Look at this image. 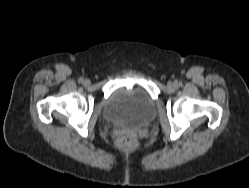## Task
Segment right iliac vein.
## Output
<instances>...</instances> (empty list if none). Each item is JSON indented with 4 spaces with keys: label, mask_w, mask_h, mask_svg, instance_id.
Instances as JSON below:
<instances>
[{
    "label": "right iliac vein",
    "mask_w": 249,
    "mask_h": 188,
    "mask_svg": "<svg viewBox=\"0 0 249 188\" xmlns=\"http://www.w3.org/2000/svg\"><path fill=\"white\" fill-rule=\"evenodd\" d=\"M90 83H91V82H90L89 79H86V80L83 81V84H84L85 86H89Z\"/></svg>",
    "instance_id": "1"
}]
</instances>
